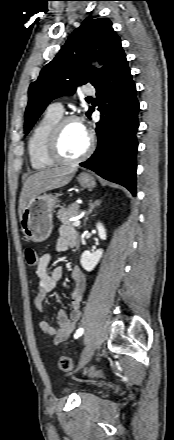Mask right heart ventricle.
<instances>
[{"mask_svg": "<svg viewBox=\"0 0 174 440\" xmlns=\"http://www.w3.org/2000/svg\"><path fill=\"white\" fill-rule=\"evenodd\" d=\"M61 116L46 111L43 117L34 126L27 144L30 164L37 171L56 166L47 154V144L50 132Z\"/></svg>", "mask_w": 174, "mask_h": 440, "instance_id": "e07e8e85", "label": "right heart ventricle"}]
</instances>
